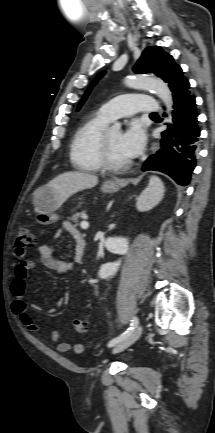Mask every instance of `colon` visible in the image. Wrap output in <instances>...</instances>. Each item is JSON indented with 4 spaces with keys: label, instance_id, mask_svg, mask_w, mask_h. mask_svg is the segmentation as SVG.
I'll return each instance as SVG.
<instances>
[{
    "label": "colon",
    "instance_id": "5ec220e1",
    "mask_svg": "<svg viewBox=\"0 0 215 433\" xmlns=\"http://www.w3.org/2000/svg\"><path fill=\"white\" fill-rule=\"evenodd\" d=\"M35 235L31 228L25 225H19L15 233L16 255L22 258L25 255V250L34 246ZM74 329L78 333H86L89 330V323L84 319H75L73 321Z\"/></svg>",
    "mask_w": 215,
    "mask_h": 433
}]
</instances>
